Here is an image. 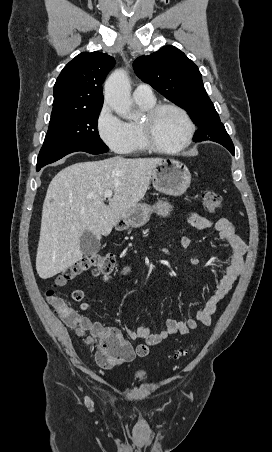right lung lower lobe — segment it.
I'll use <instances>...</instances> for the list:
<instances>
[{
  "mask_svg": "<svg viewBox=\"0 0 272 452\" xmlns=\"http://www.w3.org/2000/svg\"><path fill=\"white\" fill-rule=\"evenodd\" d=\"M76 151H81V150H76ZM76 151H72V152H76ZM72 152H70V153H72ZM68 154H69V153H68ZM65 155H67V154H65ZM65 155L60 156V157H57V158H50V159L38 161V162H37V166H36V170L39 171V170H40L42 167H44L45 165L50 164V163H53V162L59 160L60 158L64 157Z\"/></svg>",
  "mask_w": 272,
  "mask_h": 452,
  "instance_id": "obj_1",
  "label": "right lung lower lobe"
}]
</instances>
